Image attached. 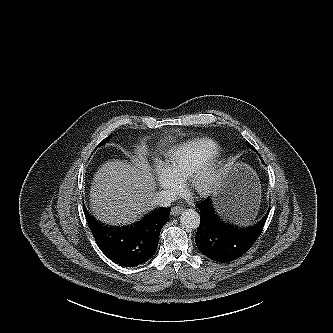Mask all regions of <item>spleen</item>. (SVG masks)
I'll list each match as a JSON object with an SVG mask.
<instances>
[{
  "label": "spleen",
  "mask_w": 333,
  "mask_h": 333,
  "mask_svg": "<svg viewBox=\"0 0 333 333\" xmlns=\"http://www.w3.org/2000/svg\"><path fill=\"white\" fill-rule=\"evenodd\" d=\"M260 193L261 190L259 189V194L256 195V198H258L259 202H260ZM258 207L259 205H257V208H255V210H253L249 215L244 216L242 219H235V223L242 225V226H246L249 225L252 220H254L255 216L258 213Z\"/></svg>",
  "instance_id": "3e777b00"
}]
</instances>
